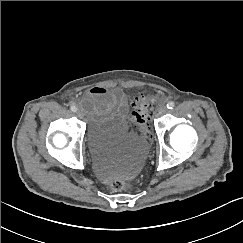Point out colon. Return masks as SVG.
<instances>
[{
    "label": "colon",
    "instance_id": "1",
    "mask_svg": "<svg viewBox=\"0 0 243 243\" xmlns=\"http://www.w3.org/2000/svg\"><path fill=\"white\" fill-rule=\"evenodd\" d=\"M155 99L147 95H139L132 102L131 120L136 129L145 137H150V121L155 106ZM130 182L117 179L112 182L114 191L120 192L129 189Z\"/></svg>",
    "mask_w": 243,
    "mask_h": 243
}]
</instances>
